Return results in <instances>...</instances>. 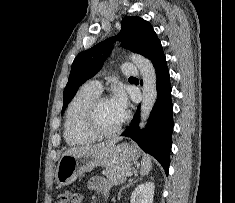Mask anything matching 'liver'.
Instances as JSON below:
<instances>
[{
	"label": "liver",
	"mask_w": 235,
	"mask_h": 203,
	"mask_svg": "<svg viewBox=\"0 0 235 203\" xmlns=\"http://www.w3.org/2000/svg\"><path fill=\"white\" fill-rule=\"evenodd\" d=\"M118 141H119V138H115V139L109 140L107 142L97 143V144H93V145H86V146H82V147L70 148L67 151H65L63 155L74 154L79 151L97 150V149L104 148L107 146H112L115 143H117Z\"/></svg>",
	"instance_id": "1"
}]
</instances>
